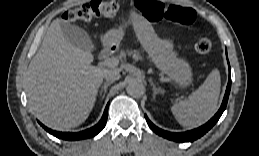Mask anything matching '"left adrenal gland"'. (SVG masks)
I'll use <instances>...</instances> for the list:
<instances>
[{"label": "left adrenal gland", "mask_w": 259, "mask_h": 156, "mask_svg": "<svg viewBox=\"0 0 259 156\" xmlns=\"http://www.w3.org/2000/svg\"><path fill=\"white\" fill-rule=\"evenodd\" d=\"M149 83L150 85L153 87V96L155 98V96L161 92H163V90L161 88H157L156 85L153 83L152 79H149Z\"/></svg>", "instance_id": "obj_1"}]
</instances>
